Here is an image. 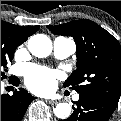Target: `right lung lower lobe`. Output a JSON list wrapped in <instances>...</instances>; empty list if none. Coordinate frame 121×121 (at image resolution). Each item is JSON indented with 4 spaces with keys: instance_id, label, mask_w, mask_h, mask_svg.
<instances>
[{
    "instance_id": "1",
    "label": "right lung lower lobe",
    "mask_w": 121,
    "mask_h": 121,
    "mask_svg": "<svg viewBox=\"0 0 121 121\" xmlns=\"http://www.w3.org/2000/svg\"><path fill=\"white\" fill-rule=\"evenodd\" d=\"M16 85L20 83L17 77H12ZM35 99L24 89L15 90L12 96L1 95V121H21L27 107Z\"/></svg>"
}]
</instances>
